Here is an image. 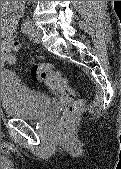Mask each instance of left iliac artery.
Wrapping results in <instances>:
<instances>
[{
  "mask_svg": "<svg viewBox=\"0 0 121 169\" xmlns=\"http://www.w3.org/2000/svg\"><path fill=\"white\" fill-rule=\"evenodd\" d=\"M31 27H32V22L29 20H26L22 23L21 30L24 33H28Z\"/></svg>",
  "mask_w": 121,
  "mask_h": 169,
  "instance_id": "1",
  "label": "left iliac artery"
}]
</instances>
